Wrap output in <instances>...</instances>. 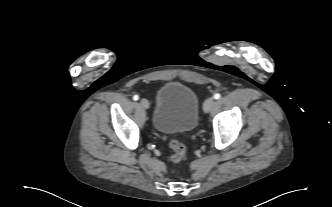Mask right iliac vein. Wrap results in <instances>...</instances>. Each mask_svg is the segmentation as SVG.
<instances>
[{"label": "right iliac vein", "instance_id": "right-iliac-vein-1", "mask_svg": "<svg viewBox=\"0 0 332 207\" xmlns=\"http://www.w3.org/2000/svg\"><path fill=\"white\" fill-rule=\"evenodd\" d=\"M140 104H141V106H142L144 109H148L149 106H150V104H149V102H148L147 99H142V100L140 101Z\"/></svg>", "mask_w": 332, "mask_h": 207}]
</instances>
